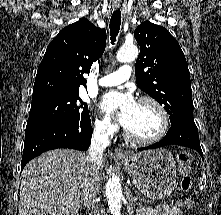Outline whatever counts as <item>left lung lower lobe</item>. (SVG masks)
Listing matches in <instances>:
<instances>
[{"instance_id":"left-lung-lower-lobe-1","label":"left lung lower lobe","mask_w":221,"mask_h":215,"mask_svg":"<svg viewBox=\"0 0 221 215\" xmlns=\"http://www.w3.org/2000/svg\"><path fill=\"white\" fill-rule=\"evenodd\" d=\"M171 144L195 149L201 155V157H203L198 136V129L195 124L172 125L166 136L161 141L147 147L138 148V150L142 151L156 149Z\"/></svg>"}]
</instances>
